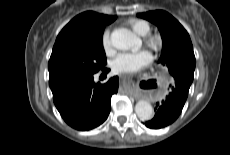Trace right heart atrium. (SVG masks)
I'll return each instance as SVG.
<instances>
[{"instance_id": "d8ad5b80", "label": "right heart atrium", "mask_w": 230, "mask_h": 155, "mask_svg": "<svg viewBox=\"0 0 230 155\" xmlns=\"http://www.w3.org/2000/svg\"><path fill=\"white\" fill-rule=\"evenodd\" d=\"M102 44H103V48L105 51H110L112 48V40H111V31L110 30H106L103 34L102 37Z\"/></svg>"}]
</instances>
